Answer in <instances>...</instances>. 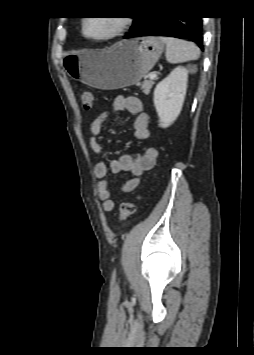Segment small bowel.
Segmentation results:
<instances>
[{
	"label": "small bowel",
	"mask_w": 254,
	"mask_h": 355,
	"mask_svg": "<svg viewBox=\"0 0 254 355\" xmlns=\"http://www.w3.org/2000/svg\"><path fill=\"white\" fill-rule=\"evenodd\" d=\"M112 107L116 111L126 110L136 115L133 128L137 139L147 141L150 138L149 115L143 112L142 101L138 97L117 96L112 102ZM107 118L108 114L102 113L90 124L89 146L97 155L104 153L100 137ZM157 159L158 151L154 147L147 146L142 154L137 156L122 154L118 159L112 160L109 166L105 163H98L95 166L94 173L99 179L97 188L103 211L110 212L114 208L113 189L108 179L109 169L112 172L128 171L132 173L133 177L121 187L122 192L128 193L134 191L140 185L143 174L155 167Z\"/></svg>",
	"instance_id": "obj_1"
}]
</instances>
